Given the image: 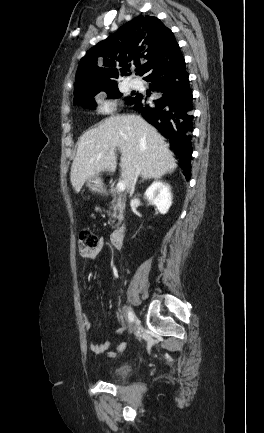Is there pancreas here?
<instances>
[{
	"label": "pancreas",
	"instance_id": "obj_1",
	"mask_svg": "<svg viewBox=\"0 0 264 433\" xmlns=\"http://www.w3.org/2000/svg\"><path fill=\"white\" fill-rule=\"evenodd\" d=\"M112 212L109 211V215H111V222L114 223V220L121 219L123 216V211L125 209V197L123 195L118 194V196H114V199L111 202Z\"/></svg>",
	"mask_w": 264,
	"mask_h": 433
}]
</instances>
